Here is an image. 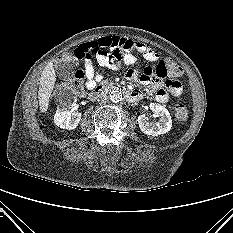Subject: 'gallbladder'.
Segmentation results:
<instances>
[{
    "label": "gallbladder",
    "instance_id": "gallbladder-1",
    "mask_svg": "<svg viewBox=\"0 0 233 233\" xmlns=\"http://www.w3.org/2000/svg\"><path fill=\"white\" fill-rule=\"evenodd\" d=\"M57 71L61 78L66 79V78H69L73 74L74 69H73V66L70 65L69 63L67 64L60 63L58 64Z\"/></svg>",
    "mask_w": 233,
    "mask_h": 233
}]
</instances>
